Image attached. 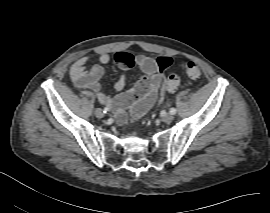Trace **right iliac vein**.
I'll list each match as a JSON object with an SVG mask.
<instances>
[{
	"mask_svg": "<svg viewBox=\"0 0 270 213\" xmlns=\"http://www.w3.org/2000/svg\"><path fill=\"white\" fill-rule=\"evenodd\" d=\"M95 115H96V117H98V118H102V117L104 116L102 109H101V108H97V109L95 110Z\"/></svg>",
	"mask_w": 270,
	"mask_h": 213,
	"instance_id": "1",
	"label": "right iliac vein"
}]
</instances>
